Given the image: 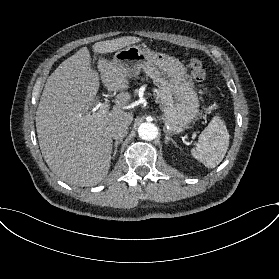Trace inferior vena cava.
<instances>
[{
    "instance_id": "obj_1",
    "label": "inferior vena cava",
    "mask_w": 279,
    "mask_h": 279,
    "mask_svg": "<svg viewBox=\"0 0 279 279\" xmlns=\"http://www.w3.org/2000/svg\"><path fill=\"white\" fill-rule=\"evenodd\" d=\"M128 124L119 123L111 127L109 133L112 139L119 140L124 138L128 132Z\"/></svg>"
}]
</instances>
